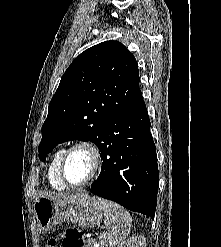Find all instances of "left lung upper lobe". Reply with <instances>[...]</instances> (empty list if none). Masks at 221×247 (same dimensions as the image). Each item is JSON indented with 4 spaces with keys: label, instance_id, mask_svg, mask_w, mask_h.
I'll use <instances>...</instances> for the list:
<instances>
[{
    "label": "left lung upper lobe",
    "instance_id": "left-lung-upper-lobe-1",
    "mask_svg": "<svg viewBox=\"0 0 221 247\" xmlns=\"http://www.w3.org/2000/svg\"><path fill=\"white\" fill-rule=\"evenodd\" d=\"M144 104L136 59L122 43L105 41L85 50L68 67L50 101L39 158L69 140L91 141L101 149L104 128Z\"/></svg>",
    "mask_w": 221,
    "mask_h": 247
}]
</instances>
